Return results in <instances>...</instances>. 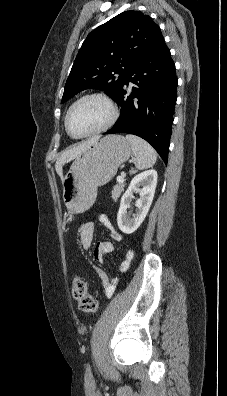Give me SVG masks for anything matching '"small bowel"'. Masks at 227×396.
<instances>
[{"mask_svg":"<svg viewBox=\"0 0 227 396\" xmlns=\"http://www.w3.org/2000/svg\"><path fill=\"white\" fill-rule=\"evenodd\" d=\"M96 221H98L108 229L110 236L114 241H120L122 239L121 234L114 228L111 221L105 214H98L96 217ZM94 227H95L94 221L84 222L78 227L80 243L84 249H89L92 245ZM112 251H113L112 242L100 241L95 246L93 253L94 259L98 262H103L104 256ZM132 257H133V251H129L125 261L121 265V270L123 271L127 270V268L130 265ZM94 272L98 277L99 281L101 282L102 287L104 288L105 295L107 297L112 296L116 288L117 280L110 279L108 275L100 268L95 267Z\"/></svg>","mask_w":227,"mask_h":396,"instance_id":"c3829d8e","label":"small bowel"}]
</instances>
